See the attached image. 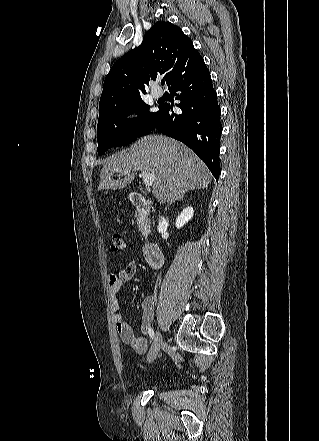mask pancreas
<instances>
[{"mask_svg": "<svg viewBox=\"0 0 319 441\" xmlns=\"http://www.w3.org/2000/svg\"><path fill=\"white\" fill-rule=\"evenodd\" d=\"M137 225L139 227V231L142 235L143 238H147L148 236V232H149V227L147 224V218H146V214H139L137 215Z\"/></svg>", "mask_w": 319, "mask_h": 441, "instance_id": "cf45deb5", "label": "pancreas"}]
</instances>
